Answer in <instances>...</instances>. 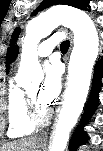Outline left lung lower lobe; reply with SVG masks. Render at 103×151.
<instances>
[{"mask_svg":"<svg viewBox=\"0 0 103 151\" xmlns=\"http://www.w3.org/2000/svg\"><path fill=\"white\" fill-rule=\"evenodd\" d=\"M95 69L96 70L94 74L91 95L83 115V118L85 120L91 116V114L93 113V111H95L96 106L98 104L97 95L101 86L100 79L103 75V58H101V60L96 64ZM87 139H88L87 134L83 131V125H80L79 128H77L76 132L74 133L73 137L71 138L70 149L76 150L79 145L86 143Z\"/></svg>","mask_w":103,"mask_h":151,"instance_id":"left-lung-lower-lobe-1","label":"left lung lower lobe"}]
</instances>
